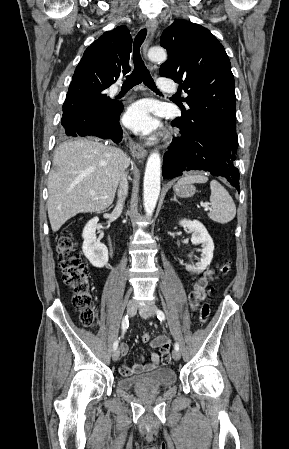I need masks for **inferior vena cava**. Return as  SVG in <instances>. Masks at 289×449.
Returning a JSON list of instances; mask_svg holds the SVG:
<instances>
[{"label": "inferior vena cava", "instance_id": "602c4592", "mask_svg": "<svg viewBox=\"0 0 289 449\" xmlns=\"http://www.w3.org/2000/svg\"><path fill=\"white\" fill-rule=\"evenodd\" d=\"M128 194V182H127V174H123L120 178L119 188H118V202L115 210L117 212H121L123 209V203Z\"/></svg>", "mask_w": 289, "mask_h": 449}]
</instances>
